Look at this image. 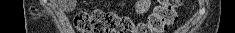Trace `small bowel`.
<instances>
[{
    "label": "small bowel",
    "mask_w": 235,
    "mask_h": 33,
    "mask_svg": "<svg viewBox=\"0 0 235 33\" xmlns=\"http://www.w3.org/2000/svg\"><path fill=\"white\" fill-rule=\"evenodd\" d=\"M148 8V2L147 1H140L137 4L138 11L142 12L145 11Z\"/></svg>",
    "instance_id": "1"
}]
</instances>
